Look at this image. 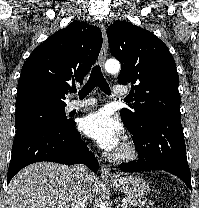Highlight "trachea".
Segmentation results:
<instances>
[{"instance_id": "3493384b", "label": "trachea", "mask_w": 199, "mask_h": 208, "mask_svg": "<svg viewBox=\"0 0 199 208\" xmlns=\"http://www.w3.org/2000/svg\"><path fill=\"white\" fill-rule=\"evenodd\" d=\"M96 86L104 93L108 95L111 94L110 87L106 82L99 65L93 67L89 80L78 93L79 98H85ZM125 101H127V99H125Z\"/></svg>"}]
</instances>
